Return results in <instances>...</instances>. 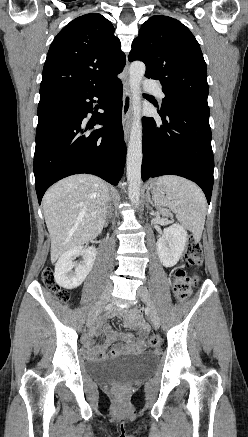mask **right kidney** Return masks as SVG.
<instances>
[{
	"label": "right kidney",
	"mask_w": 248,
	"mask_h": 437,
	"mask_svg": "<svg viewBox=\"0 0 248 437\" xmlns=\"http://www.w3.org/2000/svg\"><path fill=\"white\" fill-rule=\"evenodd\" d=\"M96 248L77 246L65 252L55 265V282L65 289L79 287L91 271L95 258ZM79 255L83 256V263L76 265L74 259ZM75 268V271L72 269Z\"/></svg>",
	"instance_id": "1"
}]
</instances>
